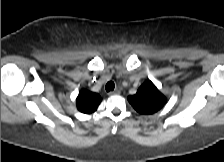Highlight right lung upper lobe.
<instances>
[{"label": "right lung upper lobe", "mask_w": 224, "mask_h": 162, "mask_svg": "<svg viewBox=\"0 0 224 162\" xmlns=\"http://www.w3.org/2000/svg\"><path fill=\"white\" fill-rule=\"evenodd\" d=\"M101 100L99 94L82 89L77 97L78 110L85 114L93 113L97 110Z\"/></svg>", "instance_id": "1"}]
</instances>
